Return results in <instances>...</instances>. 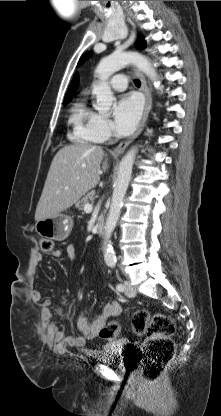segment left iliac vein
<instances>
[{"label": "left iliac vein", "instance_id": "obj_1", "mask_svg": "<svg viewBox=\"0 0 221 416\" xmlns=\"http://www.w3.org/2000/svg\"><path fill=\"white\" fill-rule=\"evenodd\" d=\"M124 285H125V295L127 297H134L136 295V290L131 285V282L125 281Z\"/></svg>", "mask_w": 221, "mask_h": 416}]
</instances>
